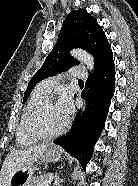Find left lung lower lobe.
Returning <instances> with one entry per match:
<instances>
[{"mask_svg": "<svg viewBox=\"0 0 138 186\" xmlns=\"http://www.w3.org/2000/svg\"><path fill=\"white\" fill-rule=\"evenodd\" d=\"M86 86L89 94L85 112H78L71 131L54 140L70 155L77 158L85 169L92 157L94 145L97 142L105 124L111 98L115 91L114 62L103 66L89 77ZM83 97V94L81 95ZM81 119V122H79Z\"/></svg>", "mask_w": 138, "mask_h": 186, "instance_id": "0a47b994", "label": "left lung lower lobe"}]
</instances>
